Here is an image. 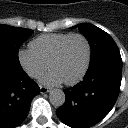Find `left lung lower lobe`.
<instances>
[{
	"label": "left lung lower lobe",
	"mask_w": 128,
	"mask_h": 128,
	"mask_svg": "<svg viewBox=\"0 0 128 128\" xmlns=\"http://www.w3.org/2000/svg\"><path fill=\"white\" fill-rule=\"evenodd\" d=\"M122 59L108 54L90 62L84 80L65 89V103L58 117L71 128H89L100 122L113 108L120 91Z\"/></svg>",
	"instance_id": "obj_1"
}]
</instances>
